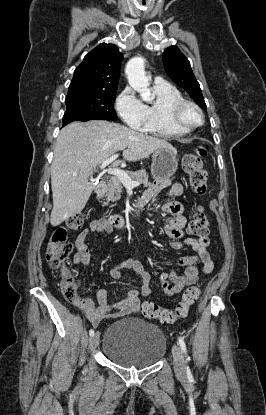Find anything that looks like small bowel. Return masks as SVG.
I'll return each mask as SVG.
<instances>
[{
    "instance_id": "c3829d8e",
    "label": "small bowel",
    "mask_w": 266,
    "mask_h": 415,
    "mask_svg": "<svg viewBox=\"0 0 266 415\" xmlns=\"http://www.w3.org/2000/svg\"><path fill=\"white\" fill-rule=\"evenodd\" d=\"M183 193V185L178 182L171 183L169 180H159L151 185L142 195L139 203L145 205L155 200L158 196L178 197ZM162 211L170 215L166 219L164 232L173 239L171 247L180 250L185 246L192 248L196 255L185 256L180 258L174 264L171 273H162L160 282L162 291L168 296L181 292V290L195 283L200 273L208 274L214 268V263L208 251L209 239L206 238H183L186 217L184 216V206L178 201H171L163 205ZM111 231L107 220L99 219L92 221L89 227L83 230L75 239L74 246L76 253L73 256L74 264L89 265L91 261L89 248L86 244L89 234H99L105 236ZM185 267L184 273L178 275L176 269ZM123 269L133 273L141 282L140 290L132 287L125 297L114 305L108 303V294L105 290L98 292L99 305L83 295L72 301L88 318L93 326H98L104 319H117L128 314L137 312L140 308L139 293L148 296L151 293L150 276L144 270L143 266L137 262L128 260L113 267L110 275L114 279H120L123 276Z\"/></svg>"
}]
</instances>
